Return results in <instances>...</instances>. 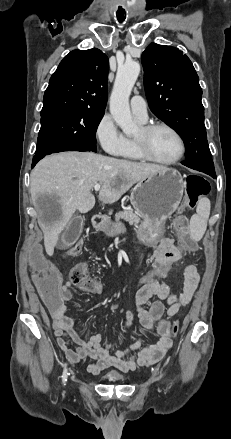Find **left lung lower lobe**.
I'll list each match as a JSON object with an SVG mask.
<instances>
[{
	"label": "left lung lower lobe",
	"instance_id": "obj_1",
	"mask_svg": "<svg viewBox=\"0 0 231 439\" xmlns=\"http://www.w3.org/2000/svg\"><path fill=\"white\" fill-rule=\"evenodd\" d=\"M206 174H209V175L212 176L213 178H216V174H215V172H214V173H206Z\"/></svg>",
	"mask_w": 231,
	"mask_h": 439
}]
</instances>
